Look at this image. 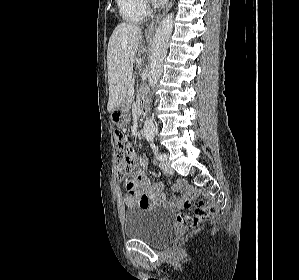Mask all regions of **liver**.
Returning a JSON list of instances; mask_svg holds the SVG:
<instances>
[{"label": "liver", "mask_w": 299, "mask_h": 280, "mask_svg": "<svg viewBox=\"0 0 299 280\" xmlns=\"http://www.w3.org/2000/svg\"><path fill=\"white\" fill-rule=\"evenodd\" d=\"M142 28L133 23H120L108 43L107 63L109 81L108 112L124 102L131 81L134 58L141 39Z\"/></svg>", "instance_id": "6515ba94"}]
</instances>
